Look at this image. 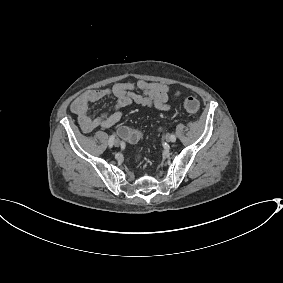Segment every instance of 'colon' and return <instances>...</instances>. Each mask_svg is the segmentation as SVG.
<instances>
[{
	"label": "colon",
	"mask_w": 283,
	"mask_h": 283,
	"mask_svg": "<svg viewBox=\"0 0 283 283\" xmlns=\"http://www.w3.org/2000/svg\"><path fill=\"white\" fill-rule=\"evenodd\" d=\"M182 105H183V108L190 114H196L200 109L199 101L194 97H187L183 101ZM119 134L122 138L130 142H137L141 137V134L139 131L132 130L124 126L119 128ZM140 158L141 156H139V159Z\"/></svg>",
	"instance_id": "colon-1"
}]
</instances>
